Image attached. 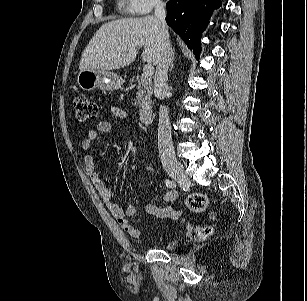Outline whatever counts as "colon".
<instances>
[{
	"instance_id": "1",
	"label": "colon",
	"mask_w": 307,
	"mask_h": 301,
	"mask_svg": "<svg viewBox=\"0 0 307 301\" xmlns=\"http://www.w3.org/2000/svg\"><path fill=\"white\" fill-rule=\"evenodd\" d=\"M73 110L75 118L78 122H86L96 118L98 107L94 100L85 96H76L73 99ZM208 198L202 193H193L187 198V206L194 212H205L208 208ZM199 238H206L211 234V229L200 228L196 230Z\"/></svg>"
}]
</instances>
